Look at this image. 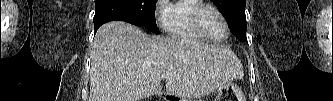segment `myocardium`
I'll list each match as a JSON object with an SVG mask.
<instances>
[{"instance_id":"1","label":"myocardium","mask_w":333,"mask_h":101,"mask_svg":"<svg viewBox=\"0 0 333 101\" xmlns=\"http://www.w3.org/2000/svg\"><path fill=\"white\" fill-rule=\"evenodd\" d=\"M204 9H211L214 12L217 13V15L220 17V19L222 20V23L224 25V34L221 38L215 39V38H211L209 37L206 32L204 31V29L202 28L201 25V21H200V16H201V12ZM190 19H191V24L193 26V28L195 29V31L201 35L204 39H207L209 41H213V42H221L223 40L226 39V37L229 34V26L227 23V20L225 18V16L223 15V13L215 6L208 4V3H199L198 5H196L190 14Z\"/></svg>"}]
</instances>
